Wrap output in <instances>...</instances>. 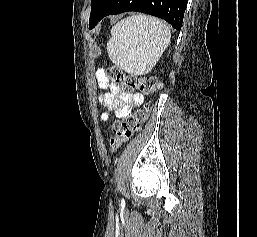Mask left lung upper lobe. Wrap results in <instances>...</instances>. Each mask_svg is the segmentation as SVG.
I'll use <instances>...</instances> for the list:
<instances>
[{"mask_svg":"<svg viewBox=\"0 0 257 237\" xmlns=\"http://www.w3.org/2000/svg\"><path fill=\"white\" fill-rule=\"evenodd\" d=\"M108 0H91L90 20L95 18Z\"/></svg>","mask_w":257,"mask_h":237,"instance_id":"obj_1","label":"left lung upper lobe"}]
</instances>
